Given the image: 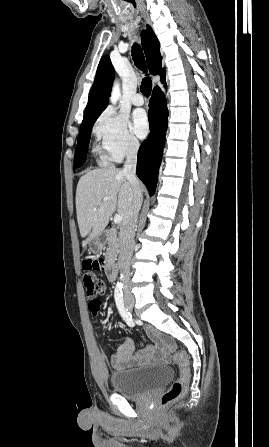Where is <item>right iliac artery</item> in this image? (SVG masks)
<instances>
[{
	"instance_id": "obj_1",
	"label": "right iliac artery",
	"mask_w": 269,
	"mask_h": 447,
	"mask_svg": "<svg viewBox=\"0 0 269 447\" xmlns=\"http://www.w3.org/2000/svg\"><path fill=\"white\" fill-rule=\"evenodd\" d=\"M122 289H123V285L122 284H117V286L115 288V293H114L116 306H117V308H118V310L120 312V315L122 316L123 320L129 326H134L131 313L128 311L127 308L124 307L123 291H122Z\"/></svg>"
}]
</instances>
